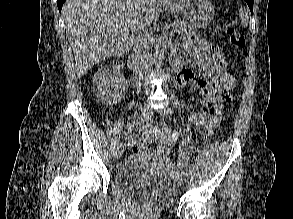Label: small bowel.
Returning <instances> with one entry per match:
<instances>
[{"label": "small bowel", "instance_id": "obj_1", "mask_svg": "<svg viewBox=\"0 0 293 219\" xmlns=\"http://www.w3.org/2000/svg\"><path fill=\"white\" fill-rule=\"evenodd\" d=\"M186 50L190 52L195 60L210 78L205 81L199 79L190 70L183 69L178 74V83L182 86L194 84L200 89L201 106L188 118V123L194 125L198 130L201 127H216L220 120V109L230 101V92L236 87V79L221 68L210 56L208 45L201 40L189 41ZM138 102L130 104V111H135ZM170 132L177 140L179 134L172 132L168 127H154L145 130L140 136L125 135L126 144L136 154L143 153L147 145L163 140L164 133Z\"/></svg>", "mask_w": 293, "mask_h": 219}]
</instances>
